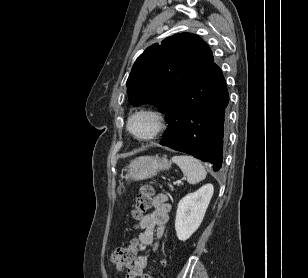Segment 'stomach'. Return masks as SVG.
<instances>
[{
  "mask_svg": "<svg viewBox=\"0 0 308 278\" xmlns=\"http://www.w3.org/2000/svg\"><path fill=\"white\" fill-rule=\"evenodd\" d=\"M170 167L171 162L165 156H141L130 162L125 169L126 175L122 178L126 181L149 179L156 176L159 171L168 170Z\"/></svg>",
  "mask_w": 308,
  "mask_h": 278,
  "instance_id": "stomach-1",
  "label": "stomach"
}]
</instances>
